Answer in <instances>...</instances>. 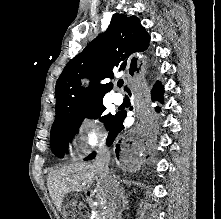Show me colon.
Segmentation results:
<instances>
[{
	"label": "colon",
	"mask_w": 221,
	"mask_h": 219,
	"mask_svg": "<svg viewBox=\"0 0 221 219\" xmlns=\"http://www.w3.org/2000/svg\"><path fill=\"white\" fill-rule=\"evenodd\" d=\"M66 209L68 219H81L83 216V210L74 200L66 202Z\"/></svg>",
	"instance_id": "colon-1"
}]
</instances>
